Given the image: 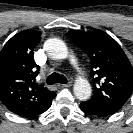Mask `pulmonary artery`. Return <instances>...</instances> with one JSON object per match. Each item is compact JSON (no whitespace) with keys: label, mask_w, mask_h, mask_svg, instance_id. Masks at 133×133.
<instances>
[{"label":"pulmonary artery","mask_w":133,"mask_h":133,"mask_svg":"<svg viewBox=\"0 0 133 133\" xmlns=\"http://www.w3.org/2000/svg\"><path fill=\"white\" fill-rule=\"evenodd\" d=\"M70 64L76 69L79 71V68H78V61L77 59L74 57V56H71L70 57Z\"/></svg>","instance_id":"e3ab8cb5"}]
</instances>
